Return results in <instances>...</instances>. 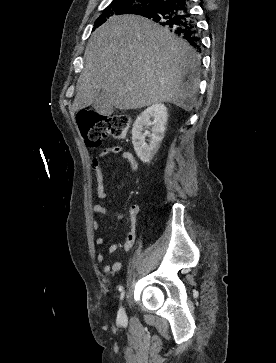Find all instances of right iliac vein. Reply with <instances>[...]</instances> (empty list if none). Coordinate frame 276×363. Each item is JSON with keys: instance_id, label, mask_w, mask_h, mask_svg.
Segmentation results:
<instances>
[{"instance_id": "right-iliac-vein-1", "label": "right iliac vein", "mask_w": 276, "mask_h": 363, "mask_svg": "<svg viewBox=\"0 0 276 363\" xmlns=\"http://www.w3.org/2000/svg\"><path fill=\"white\" fill-rule=\"evenodd\" d=\"M126 316L125 314V310L123 306H120L119 310H118V318L119 319H124Z\"/></svg>"}]
</instances>
